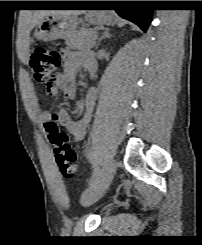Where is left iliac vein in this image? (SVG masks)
<instances>
[{
	"label": "left iliac vein",
	"mask_w": 202,
	"mask_h": 245,
	"mask_svg": "<svg viewBox=\"0 0 202 245\" xmlns=\"http://www.w3.org/2000/svg\"><path fill=\"white\" fill-rule=\"evenodd\" d=\"M116 171V163L114 160L105 164L102 173L98 177L94 187L89 194L82 197V201L86 205H91L98 201L108 190Z\"/></svg>",
	"instance_id": "4c4485c4"
}]
</instances>
